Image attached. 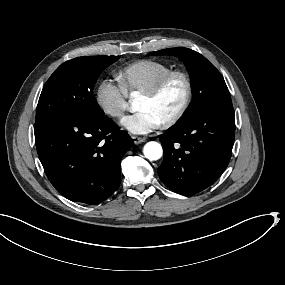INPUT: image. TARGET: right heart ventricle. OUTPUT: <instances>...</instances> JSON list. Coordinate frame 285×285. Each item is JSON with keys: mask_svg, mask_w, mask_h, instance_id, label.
<instances>
[{"mask_svg": "<svg viewBox=\"0 0 285 285\" xmlns=\"http://www.w3.org/2000/svg\"><path fill=\"white\" fill-rule=\"evenodd\" d=\"M173 72V69L161 62L145 60L132 67L131 78L126 92L134 97H140L154 86L162 77Z\"/></svg>", "mask_w": 285, "mask_h": 285, "instance_id": "right-heart-ventricle-1", "label": "right heart ventricle"}]
</instances>
